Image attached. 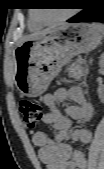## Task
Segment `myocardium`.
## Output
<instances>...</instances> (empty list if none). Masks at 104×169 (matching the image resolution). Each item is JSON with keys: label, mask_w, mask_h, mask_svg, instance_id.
Instances as JSON below:
<instances>
[{"label": "myocardium", "mask_w": 104, "mask_h": 169, "mask_svg": "<svg viewBox=\"0 0 104 169\" xmlns=\"http://www.w3.org/2000/svg\"><path fill=\"white\" fill-rule=\"evenodd\" d=\"M72 16V12L69 11L68 13L64 14L63 16H61L60 18L56 19V20H52V21H45L43 20L41 17L39 16H35V18L38 20V22H40L41 24H56L59 22H63L67 19H69Z\"/></svg>", "instance_id": "f54148a6"}]
</instances>
